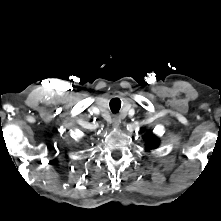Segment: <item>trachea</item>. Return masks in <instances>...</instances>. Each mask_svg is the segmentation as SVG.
<instances>
[{"label": "trachea", "mask_w": 221, "mask_h": 221, "mask_svg": "<svg viewBox=\"0 0 221 221\" xmlns=\"http://www.w3.org/2000/svg\"><path fill=\"white\" fill-rule=\"evenodd\" d=\"M110 109L113 113H118L120 108H121V101L119 98H113L111 101H110Z\"/></svg>", "instance_id": "trachea-1"}]
</instances>
